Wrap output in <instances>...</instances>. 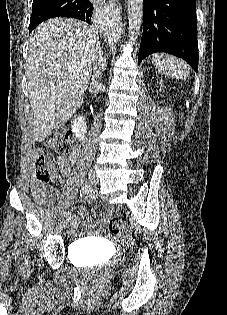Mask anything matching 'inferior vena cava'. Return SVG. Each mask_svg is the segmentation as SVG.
Segmentation results:
<instances>
[{
	"label": "inferior vena cava",
	"mask_w": 227,
	"mask_h": 315,
	"mask_svg": "<svg viewBox=\"0 0 227 315\" xmlns=\"http://www.w3.org/2000/svg\"><path fill=\"white\" fill-rule=\"evenodd\" d=\"M100 59H102V58L100 57ZM102 66H103V64H101V62L98 60V61L95 62L94 67H93L94 75H93V78H92V86L93 87L96 86V90H98L97 86L99 85L97 83V79H99V76L101 75V70L104 69V67H102ZM96 90L94 91L95 95L97 93Z\"/></svg>",
	"instance_id": "inferior-vena-cava-1"
}]
</instances>
